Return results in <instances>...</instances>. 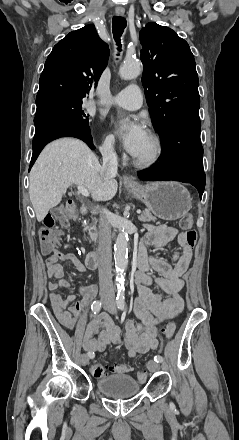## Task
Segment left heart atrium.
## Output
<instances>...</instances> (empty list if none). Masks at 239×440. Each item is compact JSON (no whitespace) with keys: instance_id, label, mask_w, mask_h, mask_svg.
I'll return each instance as SVG.
<instances>
[{"instance_id":"obj_1","label":"left heart atrium","mask_w":239,"mask_h":440,"mask_svg":"<svg viewBox=\"0 0 239 440\" xmlns=\"http://www.w3.org/2000/svg\"><path fill=\"white\" fill-rule=\"evenodd\" d=\"M111 125L128 152L136 155L148 135L142 119L139 116L116 118Z\"/></svg>"}]
</instances>
